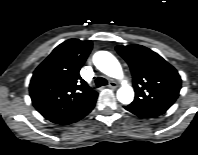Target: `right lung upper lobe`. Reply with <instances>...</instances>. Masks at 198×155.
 <instances>
[{
    "instance_id": "obj_1",
    "label": "right lung upper lobe",
    "mask_w": 198,
    "mask_h": 155,
    "mask_svg": "<svg viewBox=\"0 0 198 155\" xmlns=\"http://www.w3.org/2000/svg\"><path fill=\"white\" fill-rule=\"evenodd\" d=\"M91 49L92 41L69 39L36 68L30 96L43 117L49 120L65 115L98 95L79 74Z\"/></svg>"
}]
</instances>
